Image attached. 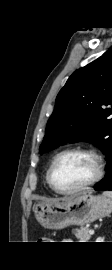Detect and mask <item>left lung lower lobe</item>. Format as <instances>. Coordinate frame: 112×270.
<instances>
[{
	"mask_svg": "<svg viewBox=\"0 0 112 270\" xmlns=\"http://www.w3.org/2000/svg\"><path fill=\"white\" fill-rule=\"evenodd\" d=\"M106 168L105 177L94 186L95 190H112V155L108 159Z\"/></svg>",
	"mask_w": 112,
	"mask_h": 270,
	"instance_id": "left-lung-lower-lobe-1",
	"label": "left lung lower lobe"
}]
</instances>
